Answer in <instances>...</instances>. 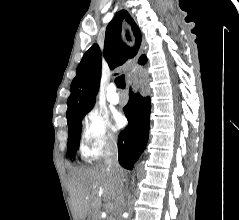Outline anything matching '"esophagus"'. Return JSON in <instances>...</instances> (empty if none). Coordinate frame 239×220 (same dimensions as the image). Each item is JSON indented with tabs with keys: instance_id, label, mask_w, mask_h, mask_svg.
Returning a JSON list of instances; mask_svg holds the SVG:
<instances>
[{
	"instance_id": "esophagus-1",
	"label": "esophagus",
	"mask_w": 239,
	"mask_h": 220,
	"mask_svg": "<svg viewBox=\"0 0 239 220\" xmlns=\"http://www.w3.org/2000/svg\"><path fill=\"white\" fill-rule=\"evenodd\" d=\"M123 33L125 36V42L128 43L129 47H133L135 44L133 43L135 41V37L131 36L130 30L131 27L127 26L126 24L122 25ZM135 62L131 61L129 67L126 68L127 73L129 74L130 83L129 86L132 87V92H139L140 91V84L138 80V73L134 68Z\"/></svg>"
}]
</instances>
